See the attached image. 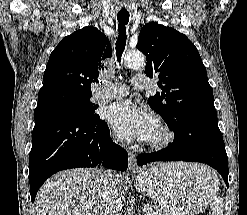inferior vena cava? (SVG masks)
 <instances>
[{"instance_id":"inferior-vena-cava-1","label":"inferior vena cava","mask_w":247,"mask_h":215,"mask_svg":"<svg viewBox=\"0 0 247 215\" xmlns=\"http://www.w3.org/2000/svg\"><path fill=\"white\" fill-rule=\"evenodd\" d=\"M103 182L108 186L109 193L106 197V209L104 215H121L122 201L119 190L120 180L111 170H106L102 175Z\"/></svg>"}]
</instances>
